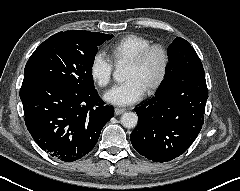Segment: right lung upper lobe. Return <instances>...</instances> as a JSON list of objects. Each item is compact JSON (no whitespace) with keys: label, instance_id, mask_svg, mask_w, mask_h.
<instances>
[{"label":"right lung upper lobe","instance_id":"right-lung-upper-lobe-1","mask_svg":"<svg viewBox=\"0 0 240 191\" xmlns=\"http://www.w3.org/2000/svg\"><path fill=\"white\" fill-rule=\"evenodd\" d=\"M63 33H68V34H73V35H80V36L90 35V34H100V33H91V32H88V31H65Z\"/></svg>","mask_w":240,"mask_h":191}]
</instances>
